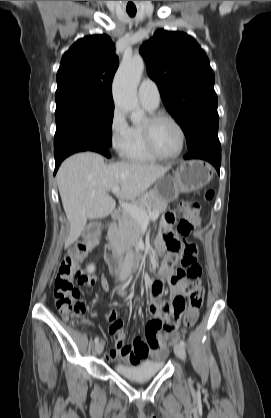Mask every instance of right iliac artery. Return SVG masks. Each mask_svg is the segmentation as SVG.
Returning a JSON list of instances; mask_svg holds the SVG:
<instances>
[{"label":"right iliac artery","mask_w":271,"mask_h":418,"mask_svg":"<svg viewBox=\"0 0 271 418\" xmlns=\"http://www.w3.org/2000/svg\"><path fill=\"white\" fill-rule=\"evenodd\" d=\"M94 342L97 344L99 342V337H96Z\"/></svg>","instance_id":"obj_1"}]
</instances>
